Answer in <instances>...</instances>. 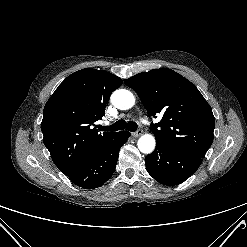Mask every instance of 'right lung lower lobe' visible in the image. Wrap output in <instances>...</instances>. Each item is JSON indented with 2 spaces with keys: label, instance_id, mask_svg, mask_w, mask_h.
<instances>
[{
  "label": "right lung lower lobe",
  "instance_id": "obj_1",
  "mask_svg": "<svg viewBox=\"0 0 247 247\" xmlns=\"http://www.w3.org/2000/svg\"><path fill=\"white\" fill-rule=\"evenodd\" d=\"M129 136L128 131L118 132L100 146L79 167L67 175L71 182L85 189H94L104 184L112 176L119 150Z\"/></svg>",
  "mask_w": 247,
  "mask_h": 247
}]
</instances>
